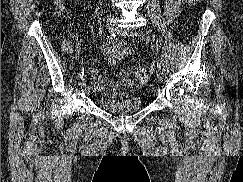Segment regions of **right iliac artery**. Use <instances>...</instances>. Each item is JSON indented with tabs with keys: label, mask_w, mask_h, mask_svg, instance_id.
Here are the masks:
<instances>
[{
	"label": "right iliac artery",
	"mask_w": 243,
	"mask_h": 182,
	"mask_svg": "<svg viewBox=\"0 0 243 182\" xmlns=\"http://www.w3.org/2000/svg\"><path fill=\"white\" fill-rule=\"evenodd\" d=\"M118 36V33H112L106 37V42H110L114 39H116ZM84 75V68L82 67L78 73V79H81Z\"/></svg>",
	"instance_id": "right-iliac-artery-1"
}]
</instances>
